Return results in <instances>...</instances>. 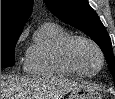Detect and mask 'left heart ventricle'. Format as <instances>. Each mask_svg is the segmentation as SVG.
Listing matches in <instances>:
<instances>
[{
	"label": "left heart ventricle",
	"mask_w": 115,
	"mask_h": 99,
	"mask_svg": "<svg viewBox=\"0 0 115 99\" xmlns=\"http://www.w3.org/2000/svg\"><path fill=\"white\" fill-rule=\"evenodd\" d=\"M74 60L86 72H94L100 66V57L95 48L87 42L77 41L72 48Z\"/></svg>",
	"instance_id": "obj_1"
}]
</instances>
